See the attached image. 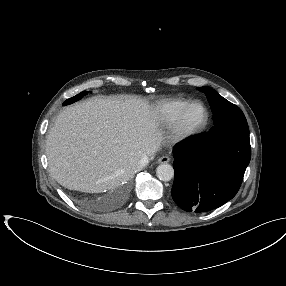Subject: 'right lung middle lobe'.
I'll return each instance as SVG.
<instances>
[{
	"instance_id": "right-lung-middle-lobe-1",
	"label": "right lung middle lobe",
	"mask_w": 286,
	"mask_h": 286,
	"mask_svg": "<svg viewBox=\"0 0 286 286\" xmlns=\"http://www.w3.org/2000/svg\"><path fill=\"white\" fill-rule=\"evenodd\" d=\"M87 93H88L87 91H83V92L77 94L76 96L69 98L66 101H64L63 105L72 104V103L80 100L83 96L87 95Z\"/></svg>"
}]
</instances>
